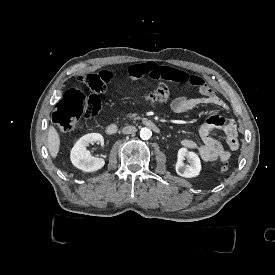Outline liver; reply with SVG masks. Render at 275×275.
<instances>
[{"label": "liver", "instance_id": "obj_1", "mask_svg": "<svg viewBox=\"0 0 275 275\" xmlns=\"http://www.w3.org/2000/svg\"><path fill=\"white\" fill-rule=\"evenodd\" d=\"M61 145L60 134L54 125H49L47 133V148L52 159H56Z\"/></svg>", "mask_w": 275, "mask_h": 275}]
</instances>
